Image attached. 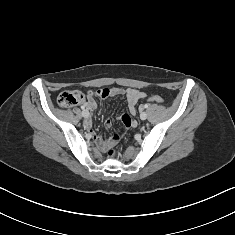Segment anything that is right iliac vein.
Returning <instances> with one entry per match:
<instances>
[{
  "label": "right iliac vein",
  "mask_w": 235,
  "mask_h": 235,
  "mask_svg": "<svg viewBox=\"0 0 235 235\" xmlns=\"http://www.w3.org/2000/svg\"><path fill=\"white\" fill-rule=\"evenodd\" d=\"M82 115H83L84 118H88L89 113L85 111V113H82Z\"/></svg>",
  "instance_id": "obj_1"
}]
</instances>
